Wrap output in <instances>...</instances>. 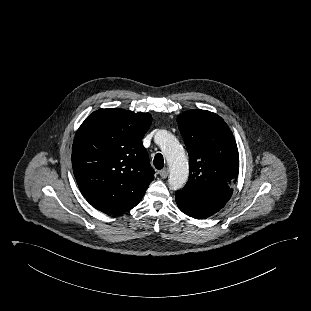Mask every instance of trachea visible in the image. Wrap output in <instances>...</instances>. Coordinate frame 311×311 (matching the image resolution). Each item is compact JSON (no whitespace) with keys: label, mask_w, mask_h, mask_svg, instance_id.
<instances>
[{"label":"trachea","mask_w":311,"mask_h":311,"mask_svg":"<svg viewBox=\"0 0 311 311\" xmlns=\"http://www.w3.org/2000/svg\"><path fill=\"white\" fill-rule=\"evenodd\" d=\"M153 164L156 169L161 170L164 167V159L161 153H157L154 157Z\"/></svg>","instance_id":"obj_1"}]
</instances>
